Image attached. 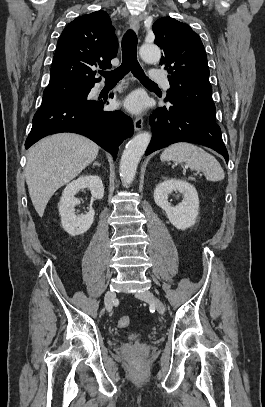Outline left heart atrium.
I'll list each match as a JSON object with an SVG mask.
<instances>
[{
    "instance_id": "1",
    "label": "left heart atrium",
    "mask_w": 265,
    "mask_h": 407,
    "mask_svg": "<svg viewBox=\"0 0 265 407\" xmlns=\"http://www.w3.org/2000/svg\"><path fill=\"white\" fill-rule=\"evenodd\" d=\"M124 106L132 113H139L144 109L145 102L140 94L134 93L126 98Z\"/></svg>"
}]
</instances>
